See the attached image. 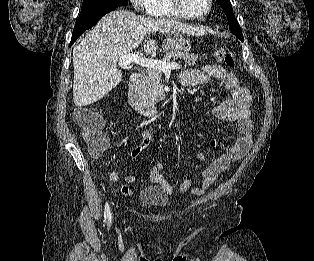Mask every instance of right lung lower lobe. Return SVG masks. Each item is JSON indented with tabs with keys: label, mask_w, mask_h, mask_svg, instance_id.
Listing matches in <instances>:
<instances>
[{
	"label": "right lung lower lobe",
	"mask_w": 314,
	"mask_h": 261,
	"mask_svg": "<svg viewBox=\"0 0 314 261\" xmlns=\"http://www.w3.org/2000/svg\"><path fill=\"white\" fill-rule=\"evenodd\" d=\"M117 7L110 8L106 11L100 12L95 14L93 17L78 21L75 24L73 34H72V39L70 42V46L76 41V39L87 29L93 27L100 19L102 16H104L106 13L115 10Z\"/></svg>",
	"instance_id": "obj_1"
}]
</instances>
